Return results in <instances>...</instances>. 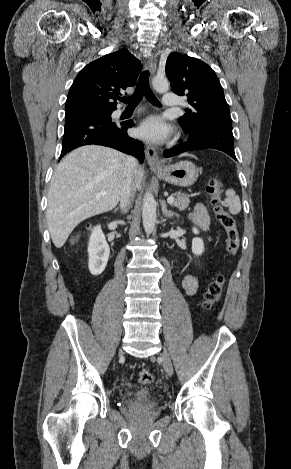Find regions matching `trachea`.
<instances>
[{
  "label": "trachea",
  "instance_id": "3493384b",
  "mask_svg": "<svg viewBox=\"0 0 291 469\" xmlns=\"http://www.w3.org/2000/svg\"><path fill=\"white\" fill-rule=\"evenodd\" d=\"M143 96H145L153 105L161 106V103L158 101L149 86V71L147 70L140 74L134 94L130 97H122L120 98V101L128 104V107L134 108L140 103Z\"/></svg>",
  "mask_w": 291,
  "mask_h": 469
}]
</instances>
